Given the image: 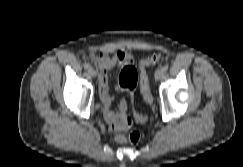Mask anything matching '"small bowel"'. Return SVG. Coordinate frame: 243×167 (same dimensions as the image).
I'll use <instances>...</instances> for the list:
<instances>
[{
    "mask_svg": "<svg viewBox=\"0 0 243 167\" xmlns=\"http://www.w3.org/2000/svg\"><path fill=\"white\" fill-rule=\"evenodd\" d=\"M94 65L98 70V91L100 99L104 105V117L111 127L114 123L126 112V103L124 99L118 100L117 108H112L113 97L109 90V72L115 67H122L130 65L134 62L133 54L130 51L118 50L115 53L109 55L106 53H100L92 58ZM116 90L119 91V85L116 86ZM138 115H135L137 120Z\"/></svg>",
    "mask_w": 243,
    "mask_h": 167,
    "instance_id": "1",
    "label": "small bowel"
}]
</instances>
